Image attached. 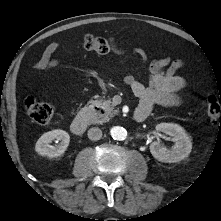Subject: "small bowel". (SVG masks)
I'll use <instances>...</instances> for the list:
<instances>
[{"mask_svg":"<svg viewBox=\"0 0 221 221\" xmlns=\"http://www.w3.org/2000/svg\"><path fill=\"white\" fill-rule=\"evenodd\" d=\"M59 49L57 43L49 44L44 50L41 58L35 64L37 71H46L57 67L59 60L53 58V54ZM117 55L124 54L123 50H115ZM134 54L139 56L144 62L147 55L144 50L137 48ZM184 66V61L180 59L171 60L169 57L154 59L149 64V84L145 85L138 81L133 75H127L124 82L130 86L134 95L139 98L137 110H143L149 114L155 105L178 106L181 103L179 91L186 87V81L176 75V72Z\"/></svg>","mask_w":221,"mask_h":221,"instance_id":"1","label":"small bowel"}]
</instances>
